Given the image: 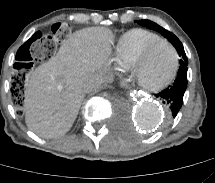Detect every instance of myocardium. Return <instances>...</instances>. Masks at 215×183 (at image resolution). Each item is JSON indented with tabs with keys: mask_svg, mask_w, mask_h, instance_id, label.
Listing matches in <instances>:
<instances>
[{
	"mask_svg": "<svg viewBox=\"0 0 215 183\" xmlns=\"http://www.w3.org/2000/svg\"><path fill=\"white\" fill-rule=\"evenodd\" d=\"M160 44H166L168 45L175 56V63H174V68L173 71L171 73V75L169 76V78L164 81L163 83L157 85V86H145L143 85L140 81L139 78L137 76V66L149 55V53L158 45ZM179 64H180V55L178 50L176 49V47L168 40L166 39H159L157 41H154L152 43H150L149 45H147L131 62L130 66H129V70L131 73L132 78L134 79L135 83L142 88L143 90L147 91V92H152V93H157L160 92L162 90H164L165 88H167L176 78L178 71H179Z\"/></svg>",
	"mask_w": 215,
	"mask_h": 183,
	"instance_id": "myocardium-1",
	"label": "myocardium"
}]
</instances>
